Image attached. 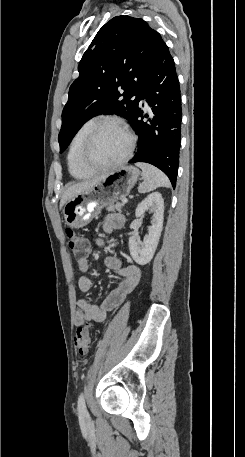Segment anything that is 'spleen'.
I'll return each instance as SVG.
<instances>
[{
	"label": "spleen",
	"mask_w": 245,
	"mask_h": 457,
	"mask_svg": "<svg viewBox=\"0 0 245 457\" xmlns=\"http://www.w3.org/2000/svg\"><path fill=\"white\" fill-rule=\"evenodd\" d=\"M136 166L142 168V174L144 176L143 182L138 186V192H150L155 190L158 186H170V180L162 170L147 164V162H136Z\"/></svg>",
	"instance_id": "obj_1"
}]
</instances>
